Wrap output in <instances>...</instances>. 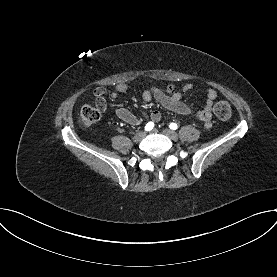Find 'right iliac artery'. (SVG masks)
<instances>
[{
	"instance_id": "82829eb1",
	"label": "right iliac artery",
	"mask_w": 277,
	"mask_h": 277,
	"mask_svg": "<svg viewBox=\"0 0 277 277\" xmlns=\"http://www.w3.org/2000/svg\"><path fill=\"white\" fill-rule=\"evenodd\" d=\"M153 127H154V123L153 122H149V123L146 124L145 130L146 131H150V130L153 129Z\"/></svg>"
}]
</instances>
